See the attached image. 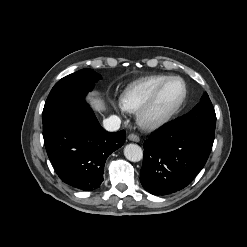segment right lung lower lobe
Here are the masks:
<instances>
[{"label": "right lung lower lobe", "mask_w": 247, "mask_h": 247, "mask_svg": "<svg viewBox=\"0 0 247 247\" xmlns=\"http://www.w3.org/2000/svg\"><path fill=\"white\" fill-rule=\"evenodd\" d=\"M43 138L60 179L81 190L103 181L108 156L125 141V131L106 132L89 106L77 107L43 122Z\"/></svg>", "instance_id": "98d812e1"}]
</instances>
